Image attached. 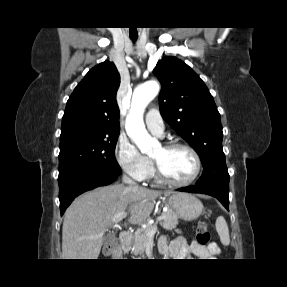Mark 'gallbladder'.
<instances>
[{"instance_id":"obj_1","label":"gallbladder","mask_w":287,"mask_h":287,"mask_svg":"<svg viewBox=\"0 0 287 287\" xmlns=\"http://www.w3.org/2000/svg\"><path fill=\"white\" fill-rule=\"evenodd\" d=\"M115 234L114 233H107L106 235H104L103 237V243H108L110 242L112 239H114Z\"/></svg>"}]
</instances>
